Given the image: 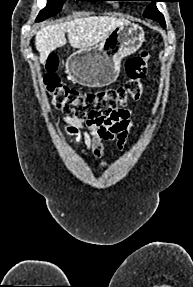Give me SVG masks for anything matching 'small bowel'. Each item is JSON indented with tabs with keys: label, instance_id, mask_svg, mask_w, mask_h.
Wrapping results in <instances>:
<instances>
[{
	"label": "small bowel",
	"instance_id": "small-bowel-1",
	"mask_svg": "<svg viewBox=\"0 0 193 287\" xmlns=\"http://www.w3.org/2000/svg\"><path fill=\"white\" fill-rule=\"evenodd\" d=\"M131 111L119 108L100 120L84 121L74 115H64L60 120L66 123L68 133H76L77 139L84 138L82 153L88 158H102L106 151L105 141H114L123 148L132 129ZM79 129L83 133H78Z\"/></svg>",
	"mask_w": 193,
	"mask_h": 287
}]
</instances>
